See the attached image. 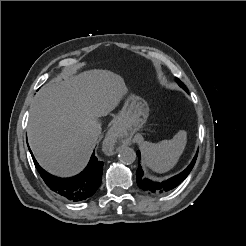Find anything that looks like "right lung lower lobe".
<instances>
[{
	"label": "right lung lower lobe",
	"instance_id": "1",
	"mask_svg": "<svg viewBox=\"0 0 246 246\" xmlns=\"http://www.w3.org/2000/svg\"><path fill=\"white\" fill-rule=\"evenodd\" d=\"M30 153L35 167L46 185L65 200L71 202L86 200L96 192L101 184L103 162L96 158L95 153L92 154L90 162L84 171L71 178H59L49 174L41 168L31 150Z\"/></svg>",
	"mask_w": 246,
	"mask_h": 246
}]
</instances>
